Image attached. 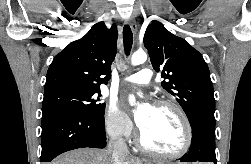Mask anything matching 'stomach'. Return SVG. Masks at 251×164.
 Segmentation results:
<instances>
[{
	"mask_svg": "<svg viewBox=\"0 0 251 164\" xmlns=\"http://www.w3.org/2000/svg\"><path fill=\"white\" fill-rule=\"evenodd\" d=\"M157 164H164L163 162H158ZM176 164H180V163H176Z\"/></svg>",
	"mask_w": 251,
	"mask_h": 164,
	"instance_id": "stomach-1",
	"label": "stomach"
}]
</instances>
